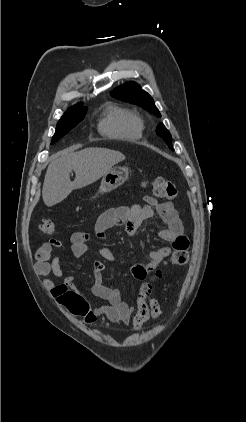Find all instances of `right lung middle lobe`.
Segmentation results:
<instances>
[{"instance_id":"right-lung-middle-lobe-1","label":"right lung middle lobe","mask_w":246,"mask_h":422,"mask_svg":"<svg viewBox=\"0 0 246 422\" xmlns=\"http://www.w3.org/2000/svg\"><path fill=\"white\" fill-rule=\"evenodd\" d=\"M87 107H72L59 120L56 132L52 138V144L67 134L79 122H81L86 114Z\"/></svg>"}]
</instances>
